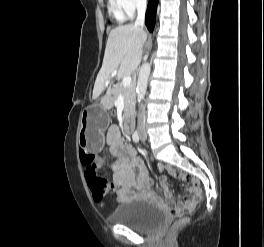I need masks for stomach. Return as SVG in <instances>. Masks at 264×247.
Returning a JSON list of instances; mask_svg holds the SVG:
<instances>
[{
	"label": "stomach",
	"instance_id": "1",
	"mask_svg": "<svg viewBox=\"0 0 264 247\" xmlns=\"http://www.w3.org/2000/svg\"><path fill=\"white\" fill-rule=\"evenodd\" d=\"M107 123L108 116L105 105L97 107L94 111H87L78 132L79 145L93 152L99 151L104 142L103 130Z\"/></svg>",
	"mask_w": 264,
	"mask_h": 247
}]
</instances>
